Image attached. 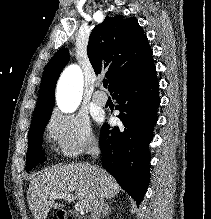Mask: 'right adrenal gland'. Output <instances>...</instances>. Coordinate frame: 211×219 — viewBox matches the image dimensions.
<instances>
[{"label": "right adrenal gland", "instance_id": "obj_1", "mask_svg": "<svg viewBox=\"0 0 211 219\" xmlns=\"http://www.w3.org/2000/svg\"><path fill=\"white\" fill-rule=\"evenodd\" d=\"M111 213V209L108 205V203H105L103 211H102V219H104L106 216H108Z\"/></svg>", "mask_w": 211, "mask_h": 219}]
</instances>
